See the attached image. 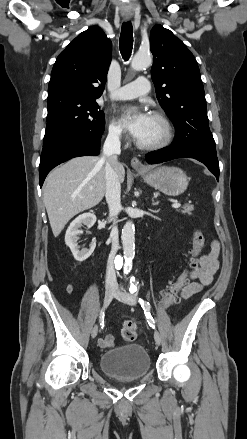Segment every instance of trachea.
<instances>
[{
    "label": "trachea",
    "instance_id": "3493384b",
    "mask_svg": "<svg viewBox=\"0 0 247 439\" xmlns=\"http://www.w3.org/2000/svg\"><path fill=\"white\" fill-rule=\"evenodd\" d=\"M120 52L124 60L131 56L133 47V28L130 22L123 23L119 39Z\"/></svg>",
    "mask_w": 247,
    "mask_h": 439
}]
</instances>
